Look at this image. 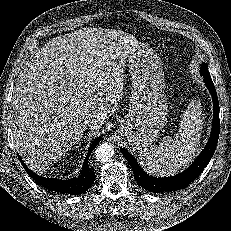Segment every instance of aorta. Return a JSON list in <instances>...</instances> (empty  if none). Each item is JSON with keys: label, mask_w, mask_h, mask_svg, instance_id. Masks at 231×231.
<instances>
[{"label": "aorta", "mask_w": 231, "mask_h": 231, "mask_svg": "<svg viewBox=\"0 0 231 231\" xmlns=\"http://www.w3.org/2000/svg\"><path fill=\"white\" fill-rule=\"evenodd\" d=\"M114 145L111 143H102L94 151L96 161L105 163L114 155Z\"/></svg>", "instance_id": "aorta-1"}]
</instances>
